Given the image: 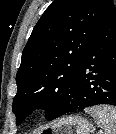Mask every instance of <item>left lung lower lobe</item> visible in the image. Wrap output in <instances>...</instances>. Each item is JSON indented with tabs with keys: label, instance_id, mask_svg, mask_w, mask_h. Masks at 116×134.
<instances>
[{
	"label": "left lung lower lobe",
	"instance_id": "obj_1",
	"mask_svg": "<svg viewBox=\"0 0 116 134\" xmlns=\"http://www.w3.org/2000/svg\"><path fill=\"white\" fill-rule=\"evenodd\" d=\"M108 104L116 106V8L110 11L95 35L82 63L77 87L51 117Z\"/></svg>",
	"mask_w": 116,
	"mask_h": 134
}]
</instances>
